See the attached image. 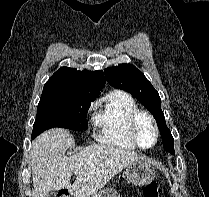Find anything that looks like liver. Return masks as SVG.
Masks as SVG:
<instances>
[{
    "label": "liver",
    "mask_w": 209,
    "mask_h": 197,
    "mask_svg": "<svg viewBox=\"0 0 209 197\" xmlns=\"http://www.w3.org/2000/svg\"><path fill=\"white\" fill-rule=\"evenodd\" d=\"M74 138L65 129L53 128L32 143L31 167L34 197H47L51 190L68 189L74 197H90L118 172L142 160L135 152L110 144H92L67 157ZM76 180L71 185V176Z\"/></svg>",
    "instance_id": "1"
}]
</instances>
